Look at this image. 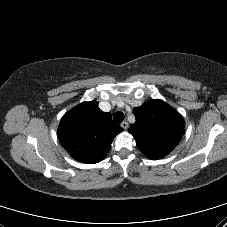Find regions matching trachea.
Returning <instances> with one entry per match:
<instances>
[{
	"instance_id": "3493384b",
	"label": "trachea",
	"mask_w": 227,
	"mask_h": 227,
	"mask_svg": "<svg viewBox=\"0 0 227 227\" xmlns=\"http://www.w3.org/2000/svg\"><path fill=\"white\" fill-rule=\"evenodd\" d=\"M113 120L116 122V123H121L123 120H124V114L122 112H116L114 115H113Z\"/></svg>"
}]
</instances>
